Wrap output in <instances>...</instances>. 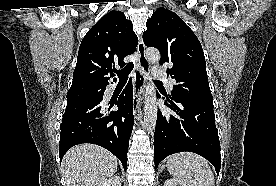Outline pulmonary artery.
Here are the masks:
<instances>
[{
  "label": "pulmonary artery",
  "instance_id": "obj_1",
  "mask_svg": "<svg viewBox=\"0 0 276 186\" xmlns=\"http://www.w3.org/2000/svg\"><path fill=\"white\" fill-rule=\"evenodd\" d=\"M151 72H152V75L155 78L160 79V80H164V81L167 82V84L170 88L173 87L174 82L167 78V73H166V70L164 68H162L160 66H153L152 69H151Z\"/></svg>",
  "mask_w": 276,
  "mask_h": 186
}]
</instances>
